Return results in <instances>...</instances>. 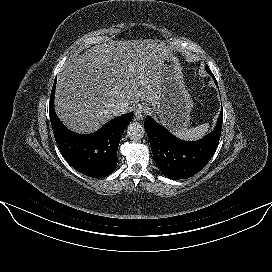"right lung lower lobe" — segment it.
I'll use <instances>...</instances> for the list:
<instances>
[{
  "label": "right lung lower lobe",
  "instance_id": "1",
  "mask_svg": "<svg viewBox=\"0 0 272 272\" xmlns=\"http://www.w3.org/2000/svg\"><path fill=\"white\" fill-rule=\"evenodd\" d=\"M54 81L49 102V114L56 143L66 161L78 172L103 178L117 165V149L121 136L130 123L133 113L112 119L100 130L89 135L69 131L58 119L54 110Z\"/></svg>",
  "mask_w": 272,
  "mask_h": 272
}]
</instances>
